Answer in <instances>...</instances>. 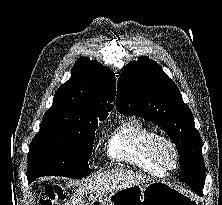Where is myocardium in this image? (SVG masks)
Returning <instances> with one entry per match:
<instances>
[{
    "mask_svg": "<svg viewBox=\"0 0 222 205\" xmlns=\"http://www.w3.org/2000/svg\"><path fill=\"white\" fill-rule=\"evenodd\" d=\"M161 144L169 146L173 151L174 159L170 165L165 164L158 154V147ZM149 153L154 163L165 172L175 169L179 163L180 154L176 143L164 135L154 134L151 137L149 141Z\"/></svg>",
    "mask_w": 222,
    "mask_h": 205,
    "instance_id": "1",
    "label": "myocardium"
}]
</instances>
